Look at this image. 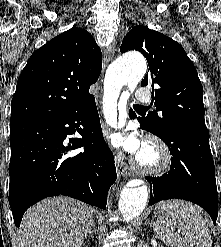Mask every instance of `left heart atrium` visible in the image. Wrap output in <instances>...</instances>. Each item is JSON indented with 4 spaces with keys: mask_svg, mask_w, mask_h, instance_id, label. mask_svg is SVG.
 Here are the masks:
<instances>
[{
    "mask_svg": "<svg viewBox=\"0 0 221 247\" xmlns=\"http://www.w3.org/2000/svg\"><path fill=\"white\" fill-rule=\"evenodd\" d=\"M110 140L114 146L137 155L142 150V144L135 134L114 133L110 136Z\"/></svg>",
    "mask_w": 221,
    "mask_h": 247,
    "instance_id": "obj_1",
    "label": "left heart atrium"
}]
</instances>
